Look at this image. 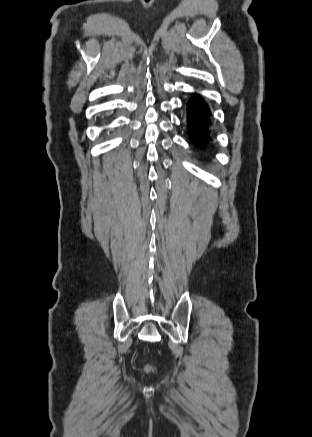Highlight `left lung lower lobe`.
<instances>
[{"label":"left lung lower lobe","instance_id":"0a47b994","mask_svg":"<svg viewBox=\"0 0 312 437\" xmlns=\"http://www.w3.org/2000/svg\"><path fill=\"white\" fill-rule=\"evenodd\" d=\"M209 116L210 110L203 99L195 96L189 100L187 104L188 132L191 135V141L197 145L205 144L210 139L208 127L211 121Z\"/></svg>","mask_w":312,"mask_h":437}]
</instances>
